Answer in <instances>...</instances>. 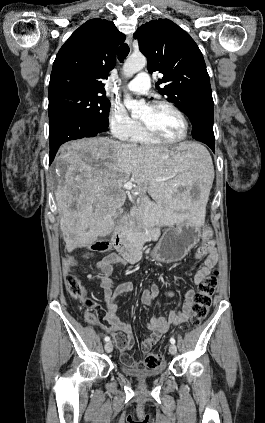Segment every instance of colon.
Instances as JSON below:
<instances>
[{
	"instance_id": "1",
	"label": "colon",
	"mask_w": 265,
	"mask_h": 423,
	"mask_svg": "<svg viewBox=\"0 0 265 423\" xmlns=\"http://www.w3.org/2000/svg\"><path fill=\"white\" fill-rule=\"evenodd\" d=\"M211 231L206 230L203 234L204 243L206 246L209 243ZM111 244L108 240H99L93 243L89 250L91 253L106 252L110 249ZM81 267L74 261H71L66 270L65 284L70 295L76 299L84 302L86 307L85 319L89 323H96L105 319V312L97 308L94 301L88 297L86 288L80 278ZM218 270L213 268L210 275H208L199 285V289L194 297V304L192 307V314L189 319V326L197 327L207 317L208 310L211 306L212 297L217 287ZM164 357L162 353H150L143 361L141 367L153 369L158 368L163 364Z\"/></svg>"
}]
</instances>
